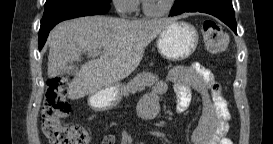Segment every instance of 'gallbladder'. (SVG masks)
I'll return each instance as SVG.
<instances>
[{
    "mask_svg": "<svg viewBox=\"0 0 273 144\" xmlns=\"http://www.w3.org/2000/svg\"><path fill=\"white\" fill-rule=\"evenodd\" d=\"M78 65H70L69 70L67 71V76H77L79 73Z\"/></svg>",
    "mask_w": 273,
    "mask_h": 144,
    "instance_id": "obj_1",
    "label": "gallbladder"
}]
</instances>
